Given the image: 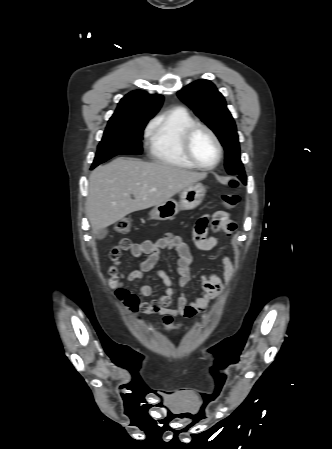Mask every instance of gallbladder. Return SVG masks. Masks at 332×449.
Returning <instances> with one entry per match:
<instances>
[{
    "instance_id": "gallbladder-1",
    "label": "gallbladder",
    "mask_w": 332,
    "mask_h": 449,
    "mask_svg": "<svg viewBox=\"0 0 332 449\" xmlns=\"http://www.w3.org/2000/svg\"><path fill=\"white\" fill-rule=\"evenodd\" d=\"M107 234V230L106 229H101L97 232V238L101 239L103 238L105 235Z\"/></svg>"
}]
</instances>
